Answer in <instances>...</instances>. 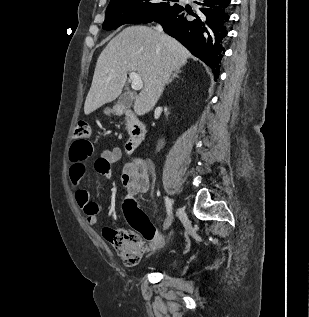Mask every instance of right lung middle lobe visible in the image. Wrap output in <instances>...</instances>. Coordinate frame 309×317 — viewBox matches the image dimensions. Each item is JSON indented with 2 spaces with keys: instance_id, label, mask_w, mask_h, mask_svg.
<instances>
[{
  "instance_id": "right-lung-middle-lobe-1",
  "label": "right lung middle lobe",
  "mask_w": 309,
  "mask_h": 317,
  "mask_svg": "<svg viewBox=\"0 0 309 317\" xmlns=\"http://www.w3.org/2000/svg\"><path fill=\"white\" fill-rule=\"evenodd\" d=\"M170 1L174 0H110L102 27L112 30L123 24L142 23L178 6Z\"/></svg>"
}]
</instances>
